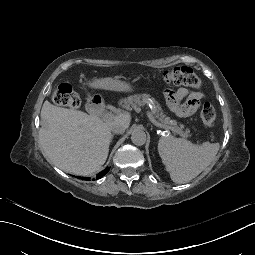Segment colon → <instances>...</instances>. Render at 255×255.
Here are the masks:
<instances>
[{"instance_id": "colon-1", "label": "colon", "mask_w": 255, "mask_h": 255, "mask_svg": "<svg viewBox=\"0 0 255 255\" xmlns=\"http://www.w3.org/2000/svg\"><path fill=\"white\" fill-rule=\"evenodd\" d=\"M162 79L174 85L189 86L197 90L203 88L202 80L188 67H175L162 74ZM53 100L56 104L70 108L80 106L79 96L67 84L59 85L53 92ZM200 117L207 128H213L216 123V112L210 103H205L201 109Z\"/></svg>"}]
</instances>
